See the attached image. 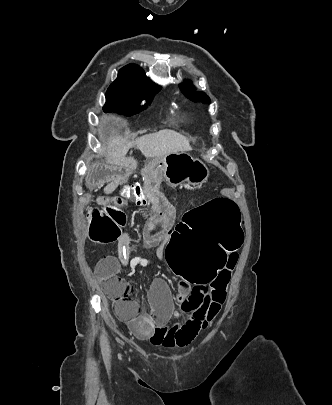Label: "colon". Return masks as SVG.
Masks as SVG:
<instances>
[{
  "instance_id": "obj_1",
  "label": "colon",
  "mask_w": 332,
  "mask_h": 405,
  "mask_svg": "<svg viewBox=\"0 0 332 405\" xmlns=\"http://www.w3.org/2000/svg\"><path fill=\"white\" fill-rule=\"evenodd\" d=\"M147 184H127L119 197H129L132 208L152 212L154 205L144 197ZM113 199L114 191L108 192ZM170 203V202H169ZM111 206L88 209L89 237L97 243L116 241L126 222V207ZM238 202L231 197H210L208 202L192 205L187 220H179L174 234L166 240L164 268L168 275H179L180 281H190L191 287H208L210 294L205 305L202 327L205 328L220 313L227 299V290L236 264L234 254L242 249ZM227 257H231L227 259ZM105 293L114 303L115 313L124 319L136 316L139 301L132 284L117 274L108 275L103 282Z\"/></svg>"
}]
</instances>
